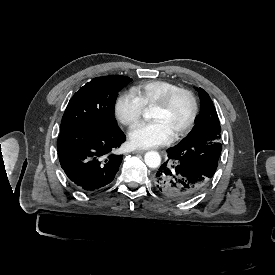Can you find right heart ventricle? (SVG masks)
<instances>
[{
    "label": "right heart ventricle",
    "mask_w": 275,
    "mask_h": 275,
    "mask_svg": "<svg viewBox=\"0 0 275 275\" xmlns=\"http://www.w3.org/2000/svg\"><path fill=\"white\" fill-rule=\"evenodd\" d=\"M175 88H177V86L169 81L153 79L136 85L133 88V92L145 107H152Z\"/></svg>",
    "instance_id": "obj_1"
}]
</instances>
